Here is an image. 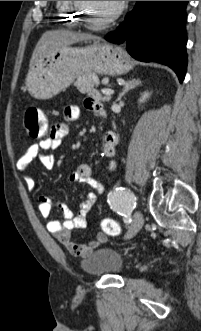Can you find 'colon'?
<instances>
[{
    "mask_svg": "<svg viewBox=\"0 0 201 331\" xmlns=\"http://www.w3.org/2000/svg\"><path fill=\"white\" fill-rule=\"evenodd\" d=\"M24 129L26 135L33 139L44 138L48 135L49 125L44 113L35 107H30L25 113ZM103 233H99L96 237V241L104 243L106 241V235L117 236L120 233L119 225L111 218H104L102 220Z\"/></svg>",
    "mask_w": 201,
    "mask_h": 331,
    "instance_id": "colon-1",
    "label": "colon"
}]
</instances>
